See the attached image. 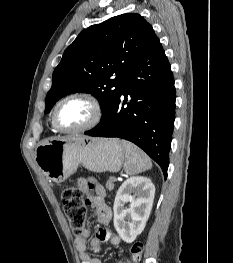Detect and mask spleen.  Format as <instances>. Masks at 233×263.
Returning a JSON list of instances; mask_svg holds the SVG:
<instances>
[{"label": "spleen", "instance_id": "spleen-1", "mask_svg": "<svg viewBox=\"0 0 233 263\" xmlns=\"http://www.w3.org/2000/svg\"><path fill=\"white\" fill-rule=\"evenodd\" d=\"M122 144L126 153L124 170L128 175H135L152 168L150 158L140 148L128 141H122Z\"/></svg>", "mask_w": 233, "mask_h": 263}]
</instances>
